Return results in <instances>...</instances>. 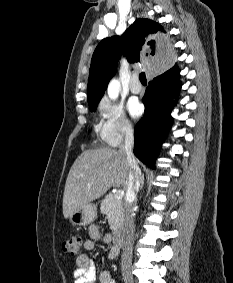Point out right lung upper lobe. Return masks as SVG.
Segmentation results:
<instances>
[{
  "label": "right lung upper lobe",
  "instance_id": "obj_1",
  "mask_svg": "<svg viewBox=\"0 0 233 283\" xmlns=\"http://www.w3.org/2000/svg\"><path fill=\"white\" fill-rule=\"evenodd\" d=\"M163 27L150 19H137L122 36L103 39L96 47L89 71L88 104L98 105L104 95L109 80L117 69L120 52L134 63L145 54L144 65L150 70H169L176 54H184V49H173Z\"/></svg>",
  "mask_w": 233,
  "mask_h": 283
}]
</instances>
